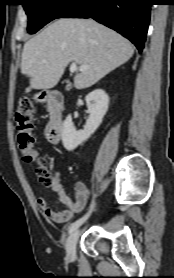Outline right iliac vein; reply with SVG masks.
<instances>
[{
	"mask_svg": "<svg viewBox=\"0 0 174 278\" xmlns=\"http://www.w3.org/2000/svg\"><path fill=\"white\" fill-rule=\"evenodd\" d=\"M79 238V230H74L67 239L66 253L67 259L74 262L76 259V244Z\"/></svg>",
	"mask_w": 174,
	"mask_h": 278,
	"instance_id": "1",
	"label": "right iliac vein"
}]
</instances>
